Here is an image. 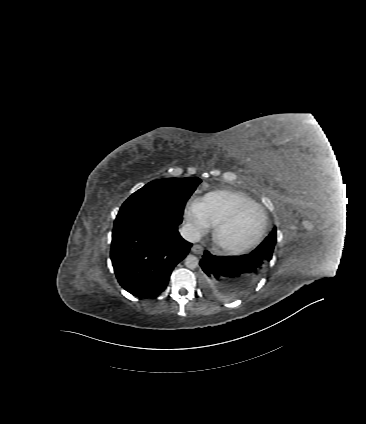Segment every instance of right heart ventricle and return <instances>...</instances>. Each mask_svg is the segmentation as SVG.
I'll use <instances>...</instances> for the list:
<instances>
[{
    "mask_svg": "<svg viewBox=\"0 0 366 424\" xmlns=\"http://www.w3.org/2000/svg\"><path fill=\"white\" fill-rule=\"evenodd\" d=\"M245 203H256L251 197L240 191L216 190L202 199L203 213L210 226L216 225L236 207Z\"/></svg>",
    "mask_w": 366,
    "mask_h": 424,
    "instance_id": "e07e8e85",
    "label": "right heart ventricle"
}]
</instances>
